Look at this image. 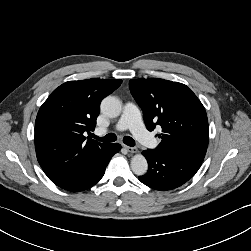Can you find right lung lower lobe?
Masks as SVG:
<instances>
[{
	"instance_id": "right-lung-lower-lobe-1",
	"label": "right lung lower lobe",
	"mask_w": 251,
	"mask_h": 251,
	"mask_svg": "<svg viewBox=\"0 0 251 251\" xmlns=\"http://www.w3.org/2000/svg\"><path fill=\"white\" fill-rule=\"evenodd\" d=\"M120 149L121 146L118 143L108 144L106 148L77 165L42 169L57 186L72 192L83 191L95 185L103 177L110 159Z\"/></svg>"
}]
</instances>
